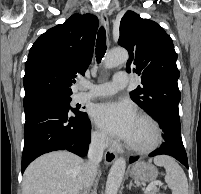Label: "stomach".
Listing matches in <instances>:
<instances>
[{
  "label": "stomach",
  "instance_id": "0dacf381",
  "mask_svg": "<svg viewBox=\"0 0 201 194\" xmlns=\"http://www.w3.org/2000/svg\"><path fill=\"white\" fill-rule=\"evenodd\" d=\"M158 170L155 166L139 161L132 166L130 176L136 181L152 182L156 179Z\"/></svg>",
  "mask_w": 201,
  "mask_h": 194
}]
</instances>
